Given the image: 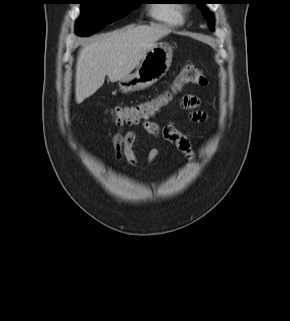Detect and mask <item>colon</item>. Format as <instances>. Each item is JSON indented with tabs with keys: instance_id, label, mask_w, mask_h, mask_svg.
<instances>
[{
	"instance_id": "1",
	"label": "colon",
	"mask_w": 290,
	"mask_h": 321,
	"mask_svg": "<svg viewBox=\"0 0 290 321\" xmlns=\"http://www.w3.org/2000/svg\"><path fill=\"white\" fill-rule=\"evenodd\" d=\"M208 80L197 66H185L172 85L161 94L131 106H116L110 109L112 121L116 125H136L157 115L171 103L175 95L186 85L207 86Z\"/></svg>"
}]
</instances>
